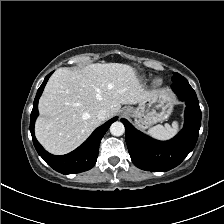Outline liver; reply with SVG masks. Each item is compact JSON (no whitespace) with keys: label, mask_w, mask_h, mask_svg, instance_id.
Wrapping results in <instances>:
<instances>
[{"label":"liver","mask_w":224,"mask_h":224,"mask_svg":"<svg viewBox=\"0 0 224 224\" xmlns=\"http://www.w3.org/2000/svg\"><path fill=\"white\" fill-rule=\"evenodd\" d=\"M157 92L144 88L133 67L121 63H96L83 69L59 68L50 77L39 100L40 117L35 135L52 154L63 155L83 143L121 105L139 104Z\"/></svg>","instance_id":"obj_1"}]
</instances>
